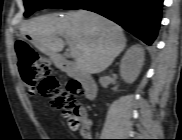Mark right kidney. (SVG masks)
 <instances>
[{
	"instance_id": "right-kidney-1",
	"label": "right kidney",
	"mask_w": 182,
	"mask_h": 140,
	"mask_svg": "<svg viewBox=\"0 0 182 140\" xmlns=\"http://www.w3.org/2000/svg\"><path fill=\"white\" fill-rule=\"evenodd\" d=\"M144 64V49L140 45H133L125 53L120 63L122 79L129 84L135 82Z\"/></svg>"
}]
</instances>
